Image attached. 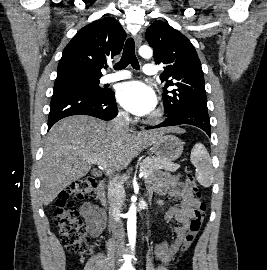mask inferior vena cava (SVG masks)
Returning <instances> with one entry per match:
<instances>
[{
  "mask_svg": "<svg viewBox=\"0 0 267 270\" xmlns=\"http://www.w3.org/2000/svg\"><path fill=\"white\" fill-rule=\"evenodd\" d=\"M111 123L115 131L119 134L129 130V117L127 113H120ZM107 195L113 237L118 248L123 249L125 232L120 217L122 212L124 189L119 176L116 175L109 181Z\"/></svg>",
  "mask_w": 267,
  "mask_h": 270,
  "instance_id": "inferior-vena-cava-1",
  "label": "inferior vena cava"
}]
</instances>
